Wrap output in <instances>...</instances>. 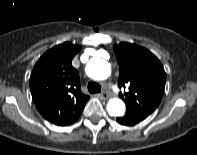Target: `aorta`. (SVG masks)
I'll return each instance as SVG.
<instances>
[{"instance_id":"762f6f07","label":"aorta","mask_w":197,"mask_h":155,"mask_svg":"<svg viewBox=\"0 0 197 155\" xmlns=\"http://www.w3.org/2000/svg\"><path fill=\"white\" fill-rule=\"evenodd\" d=\"M86 73L95 80H104L110 76L111 67L101 58H92L86 66ZM107 111L110 116H122L125 112V104L118 98H112L107 103Z\"/></svg>"}]
</instances>
